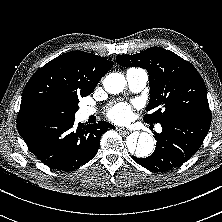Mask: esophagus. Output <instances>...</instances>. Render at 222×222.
Masks as SVG:
<instances>
[{"mask_svg":"<svg viewBox=\"0 0 222 222\" xmlns=\"http://www.w3.org/2000/svg\"><path fill=\"white\" fill-rule=\"evenodd\" d=\"M117 131H119L120 133H123V134H128L130 131L126 128H117Z\"/></svg>","mask_w":222,"mask_h":222,"instance_id":"1","label":"esophagus"}]
</instances>
